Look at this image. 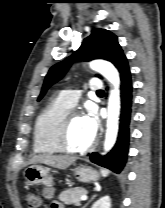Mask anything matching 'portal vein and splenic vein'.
<instances>
[{"label": "portal vein and splenic vein", "instance_id": "portal-vein-and-splenic-vein-1", "mask_svg": "<svg viewBox=\"0 0 165 208\" xmlns=\"http://www.w3.org/2000/svg\"><path fill=\"white\" fill-rule=\"evenodd\" d=\"M87 198H88L87 195H82L81 198H80V200L81 201H85V200H87Z\"/></svg>", "mask_w": 165, "mask_h": 208}]
</instances>
